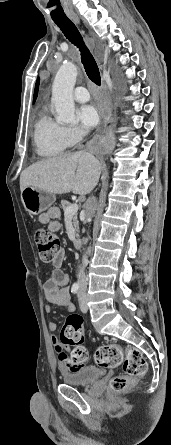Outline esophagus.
<instances>
[{
    "label": "esophagus",
    "mask_w": 171,
    "mask_h": 445,
    "mask_svg": "<svg viewBox=\"0 0 171 445\" xmlns=\"http://www.w3.org/2000/svg\"><path fill=\"white\" fill-rule=\"evenodd\" d=\"M73 20H74L75 22H77V23L79 22L78 17H74Z\"/></svg>",
    "instance_id": "obj_1"
}]
</instances>
